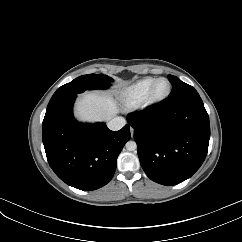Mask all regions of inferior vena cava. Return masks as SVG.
<instances>
[{"instance_id":"1","label":"inferior vena cava","mask_w":242,"mask_h":242,"mask_svg":"<svg viewBox=\"0 0 242 242\" xmlns=\"http://www.w3.org/2000/svg\"><path fill=\"white\" fill-rule=\"evenodd\" d=\"M125 124L126 121L123 117H115L108 122V128L110 130L117 131L120 130Z\"/></svg>"}]
</instances>
